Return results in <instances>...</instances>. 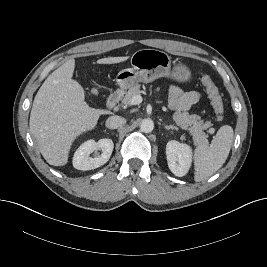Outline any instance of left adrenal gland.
Segmentation results:
<instances>
[{
	"instance_id": "obj_1",
	"label": "left adrenal gland",
	"mask_w": 267,
	"mask_h": 267,
	"mask_svg": "<svg viewBox=\"0 0 267 267\" xmlns=\"http://www.w3.org/2000/svg\"><path fill=\"white\" fill-rule=\"evenodd\" d=\"M164 129H167V130H169V129H175V130H177V127H175L173 125H164Z\"/></svg>"
}]
</instances>
